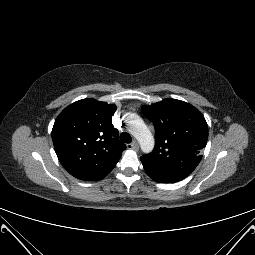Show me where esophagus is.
Here are the masks:
<instances>
[{"label": "esophagus", "mask_w": 255, "mask_h": 255, "mask_svg": "<svg viewBox=\"0 0 255 255\" xmlns=\"http://www.w3.org/2000/svg\"><path fill=\"white\" fill-rule=\"evenodd\" d=\"M127 148L130 150H138L139 146L136 141H133L132 143L127 144Z\"/></svg>", "instance_id": "34e87169"}]
</instances>
